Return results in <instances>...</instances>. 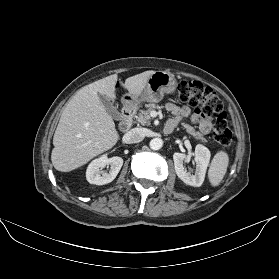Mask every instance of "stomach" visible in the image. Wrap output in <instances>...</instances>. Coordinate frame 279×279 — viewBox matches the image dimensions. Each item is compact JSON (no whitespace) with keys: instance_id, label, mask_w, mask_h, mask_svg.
Returning a JSON list of instances; mask_svg holds the SVG:
<instances>
[{"instance_id":"obj_1","label":"stomach","mask_w":279,"mask_h":279,"mask_svg":"<svg viewBox=\"0 0 279 279\" xmlns=\"http://www.w3.org/2000/svg\"><path fill=\"white\" fill-rule=\"evenodd\" d=\"M177 81L175 77L165 71H155L148 79L140 99L134 98L130 93L125 94L122 98L126 110H134L140 101L159 102L163 99L164 94L173 93L176 90Z\"/></svg>"}]
</instances>
